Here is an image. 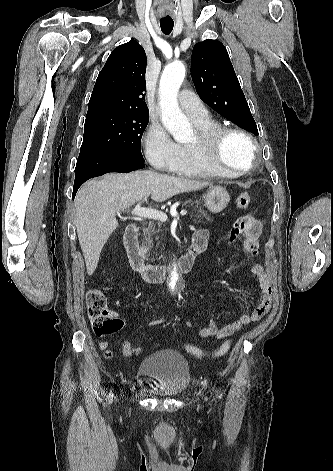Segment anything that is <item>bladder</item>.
Masks as SVG:
<instances>
[{
	"label": "bladder",
	"mask_w": 333,
	"mask_h": 471,
	"mask_svg": "<svg viewBox=\"0 0 333 471\" xmlns=\"http://www.w3.org/2000/svg\"><path fill=\"white\" fill-rule=\"evenodd\" d=\"M137 374L157 382V393L174 397L182 394L190 384V368L186 358L175 350L156 351L142 360Z\"/></svg>",
	"instance_id": "obj_1"
}]
</instances>
